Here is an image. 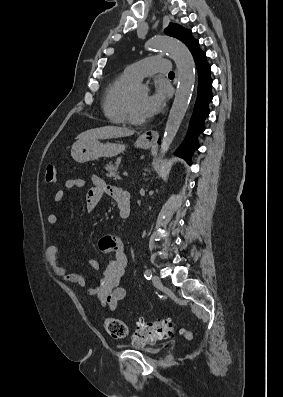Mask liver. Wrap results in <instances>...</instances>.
<instances>
[{
	"mask_svg": "<svg viewBox=\"0 0 283 397\" xmlns=\"http://www.w3.org/2000/svg\"><path fill=\"white\" fill-rule=\"evenodd\" d=\"M134 130L119 126H104L90 129L82 132L77 136L78 141H87L92 139H108L132 136Z\"/></svg>",
	"mask_w": 283,
	"mask_h": 397,
	"instance_id": "obj_1",
	"label": "liver"
}]
</instances>
